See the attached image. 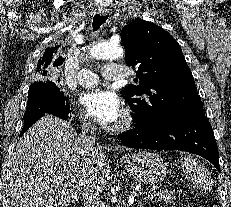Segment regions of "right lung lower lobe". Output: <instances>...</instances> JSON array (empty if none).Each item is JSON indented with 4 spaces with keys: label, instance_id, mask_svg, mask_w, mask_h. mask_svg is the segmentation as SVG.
<instances>
[{
    "label": "right lung lower lobe",
    "instance_id": "obj_1",
    "mask_svg": "<svg viewBox=\"0 0 231 207\" xmlns=\"http://www.w3.org/2000/svg\"><path fill=\"white\" fill-rule=\"evenodd\" d=\"M35 90V97L28 102L24 114V127L20 136L46 113L56 115L64 120L71 118L69 104L55 84L46 82Z\"/></svg>",
    "mask_w": 231,
    "mask_h": 207
}]
</instances>
